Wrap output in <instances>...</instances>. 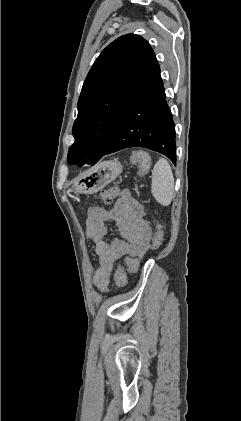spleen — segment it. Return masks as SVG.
Instances as JSON below:
<instances>
[{
	"instance_id": "obj_1",
	"label": "spleen",
	"mask_w": 241,
	"mask_h": 421,
	"mask_svg": "<svg viewBox=\"0 0 241 421\" xmlns=\"http://www.w3.org/2000/svg\"><path fill=\"white\" fill-rule=\"evenodd\" d=\"M151 192L162 206H169L174 196V177L167 160L161 158L152 170Z\"/></svg>"
}]
</instances>
